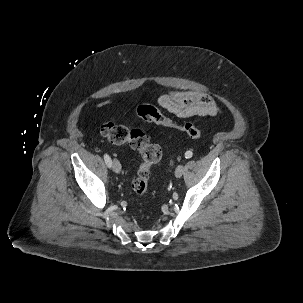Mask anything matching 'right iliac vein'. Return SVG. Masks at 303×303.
I'll return each mask as SVG.
<instances>
[{
	"label": "right iliac vein",
	"instance_id": "63e3f726",
	"mask_svg": "<svg viewBox=\"0 0 303 303\" xmlns=\"http://www.w3.org/2000/svg\"><path fill=\"white\" fill-rule=\"evenodd\" d=\"M112 169L115 173L121 172V164L118 160L114 159L112 162Z\"/></svg>",
	"mask_w": 303,
	"mask_h": 303
}]
</instances>
